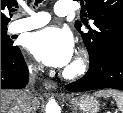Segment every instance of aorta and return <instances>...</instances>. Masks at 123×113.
<instances>
[{
	"label": "aorta",
	"instance_id": "aorta-1",
	"mask_svg": "<svg viewBox=\"0 0 123 113\" xmlns=\"http://www.w3.org/2000/svg\"><path fill=\"white\" fill-rule=\"evenodd\" d=\"M46 113H60V107L55 101V99H50L46 105Z\"/></svg>",
	"mask_w": 123,
	"mask_h": 113
}]
</instances>
